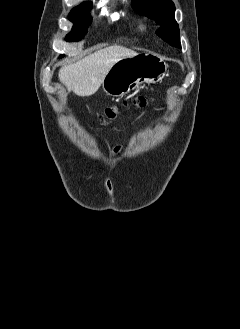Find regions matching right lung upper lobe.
Here are the masks:
<instances>
[{
    "label": "right lung upper lobe",
    "mask_w": 240,
    "mask_h": 329,
    "mask_svg": "<svg viewBox=\"0 0 240 329\" xmlns=\"http://www.w3.org/2000/svg\"><path fill=\"white\" fill-rule=\"evenodd\" d=\"M91 8V2H84L81 5L75 7L74 9H88Z\"/></svg>",
    "instance_id": "obj_1"
}]
</instances>
